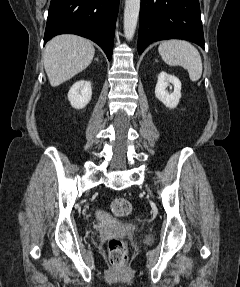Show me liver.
I'll use <instances>...</instances> for the list:
<instances>
[{
  "label": "liver",
  "instance_id": "1",
  "mask_svg": "<svg viewBox=\"0 0 240 287\" xmlns=\"http://www.w3.org/2000/svg\"><path fill=\"white\" fill-rule=\"evenodd\" d=\"M92 43L77 35H58L45 46L44 68L52 87H56L83 71L92 62Z\"/></svg>",
  "mask_w": 240,
  "mask_h": 287
}]
</instances>
